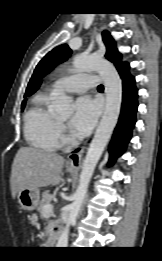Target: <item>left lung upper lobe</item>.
<instances>
[{
	"label": "left lung upper lobe",
	"mask_w": 162,
	"mask_h": 261,
	"mask_svg": "<svg viewBox=\"0 0 162 261\" xmlns=\"http://www.w3.org/2000/svg\"><path fill=\"white\" fill-rule=\"evenodd\" d=\"M102 39L106 46L105 57L114 63L117 70L122 68L126 63L121 62V55L117 50L115 41L111 37L108 31L102 33ZM71 54V49L68 45L63 44L52 51H50L36 66L34 73L29 81L28 87L26 89L25 96L29 95L35 84L42 78L45 74L49 73L57 64L65 61Z\"/></svg>",
	"instance_id": "left-lung-upper-lobe-1"
}]
</instances>
